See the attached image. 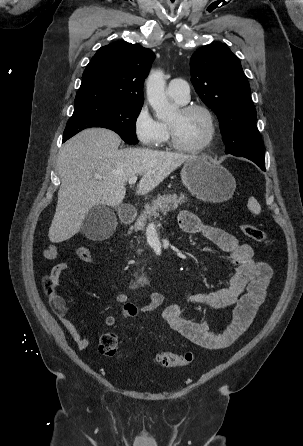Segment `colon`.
Masks as SVG:
<instances>
[{
	"label": "colon",
	"instance_id": "obj_1",
	"mask_svg": "<svg viewBox=\"0 0 303 446\" xmlns=\"http://www.w3.org/2000/svg\"><path fill=\"white\" fill-rule=\"evenodd\" d=\"M241 232L253 240L254 242L266 243L268 237L266 233L260 228L251 224H241ZM76 255L79 259L85 262H91L93 259L92 252L86 247H78L76 249ZM44 286L49 298L54 297L55 288L52 284L50 276L45 277ZM119 340L114 332H105L102 334L99 340V352L106 357H118L119 356ZM195 359V353L193 351H187L185 353L176 354L171 352H160L156 355L155 360L157 363L164 367H180L192 363Z\"/></svg>",
	"mask_w": 303,
	"mask_h": 446
}]
</instances>
